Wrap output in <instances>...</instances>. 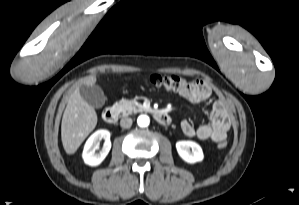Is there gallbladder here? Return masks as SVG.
<instances>
[{
    "mask_svg": "<svg viewBox=\"0 0 299 205\" xmlns=\"http://www.w3.org/2000/svg\"><path fill=\"white\" fill-rule=\"evenodd\" d=\"M79 92L83 99L94 108H101L106 101L105 95L101 87L97 85L81 84L79 86Z\"/></svg>",
    "mask_w": 299,
    "mask_h": 205,
    "instance_id": "1",
    "label": "gallbladder"
}]
</instances>
